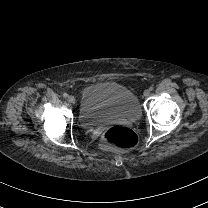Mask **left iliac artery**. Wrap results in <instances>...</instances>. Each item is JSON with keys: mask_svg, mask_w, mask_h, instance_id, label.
<instances>
[{"mask_svg": "<svg viewBox=\"0 0 208 208\" xmlns=\"http://www.w3.org/2000/svg\"><path fill=\"white\" fill-rule=\"evenodd\" d=\"M149 90H150V91H153V90H154L153 86H150V87H149Z\"/></svg>", "mask_w": 208, "mask_h": 208, "instance_id": "1", "label": "left iliac artery"}]
</instances>
